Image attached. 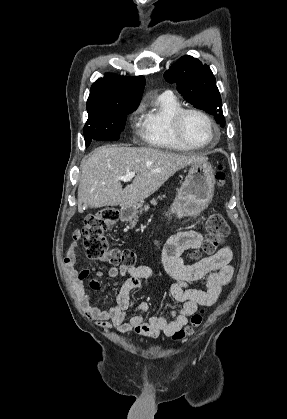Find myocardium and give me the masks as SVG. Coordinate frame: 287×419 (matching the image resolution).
<instances>
[{"label": "myocardium", "instance_id": "myocardium-1", "mask_svg": "<svg viewBox=\"0 0 287 419\" xmlns=\"http://www.w3.org/2000/svg\"><path fill=\"white\" fill-rule=\"evenodd\" d=\"M188 114H196L198 116H200L201 118H203L206 123L208 124L210 131H211V139L204 143V144H194L189 142L184 134H183V130H182V126H183V121L185 119V117ZM172 128L174 131L175 136L177 137V139L186 147L190 148V149H204L207 148L211 145H213L219 138L218 136V130L217 127L214 123V121L202 110L196 109V108H182L179 111H177L173 118H172Z\"/></svg>", "mask_w": 287, "mask_h": 419}]
</instances>
